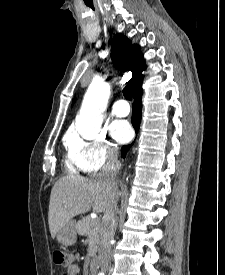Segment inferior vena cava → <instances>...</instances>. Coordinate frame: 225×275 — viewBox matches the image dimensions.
<instances>
[{"label":"inferior vena cava","mask_w":225,"mask_h":275,"mask_svg":"<svg viewBox=\"0 0 225 275\" xmlns=\"http://www.w3.org/2000/svg\"><path fill=\"white\" fill-rule=\"evenodd\" d=\"M120 163L117 157V151L109 149L107 152V162L102 168L99 177L107 184L109 188V201L102 218L101 239L98 249V257L102 271L108 273L111 265V240L114 238L116 230V212L118 203V187L115 181L117 170Z\"/></svg>","instance_id":"inferior-vena-cava-1"}]
</instances>
